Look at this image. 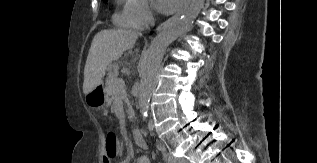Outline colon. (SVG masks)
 <instances>
[{"label": "colon", "instance_id": "obj_1", "mask_svg": "<svg viewBox=\"0 0 317 163\" xmlns=\"http://www.w3.org/2000/svg\"><path fill=\"white\" fill-rule=\"evenodd\" d=\"M104 142L107 158L109 160L115 158L118 153V141L116 134L113 131H108L105 134Z\"/></svg>", "mask_w": 317, "mask_h": 163}]
</instances>
